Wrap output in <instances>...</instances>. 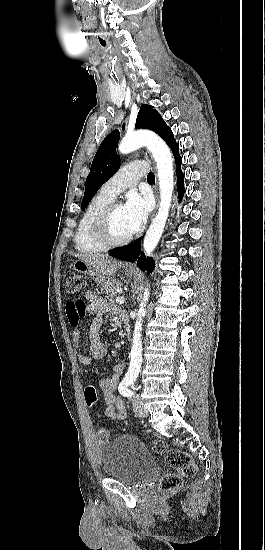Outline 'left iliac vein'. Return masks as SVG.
<instances>
[{
    "instance_id": "obj_1",
    "label": "left iliac vein",
    "mask_w": 265,
    "mask_h": 550,
    "mask_svg": "<svg viewBox=\"0 0 265 550\" xmlns=\"http://www.w3.org/2000/svg\"><path fill=\"white\" fill-rule=\"evenodd\" d=\"M132 404H133V409H134V412L140 416V417H147L148 416V411L147 409L143 406V403L140 399V397L138 395H135L133 398H132Z\"/></svg>"
}]
</instances>
